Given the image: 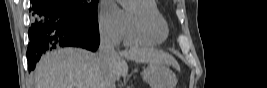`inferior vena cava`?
I'll list each match as a JSON object with an SVG mask.
<instances>
[{
	"mask_svg": "<svg viewBox=\"0 0 267 88\" xmlns=\"http://www.w3.org/2000/svg\"><path fill=\"white\" fill-rule=\"evenodd\" d=\"M99 63L101 84L99 88H115V77L110 70L111 62L117 57L114 43L108 31L100 30Z\"/></svg>",
	"mask_w": 267,
	"mask_h": 88,
	"instance_id": "1",
	"label": "inferior vena cava"
}]
</instances>
